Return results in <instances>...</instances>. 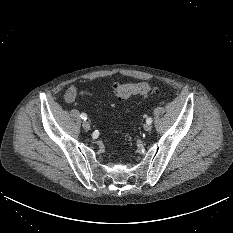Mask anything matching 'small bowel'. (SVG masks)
Wrapping results in <instances>:
<instances>
[{"instance_id": "obj_1", "label": "small bowel", "mask_w": 233, "mask_h": 233, "mask_svg": "<svg viewBox=\"0 0 233 233\" xmlns=\"http://www.w3.org/2000/svg\"><path fill=\"white\" fill-rule=\"evenodd\" d=\"M87 96L88 95V93L87 92H81V93H79V91H78V89H77V87L76 86H71L68 90H67V92H66V94H65V100L67 101V102H73V101H75L76 99H77V97L78 96Z\"/></svg>"}]
</instances>
